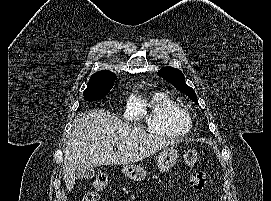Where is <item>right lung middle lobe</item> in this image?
<instances>
[{"label":"right lung middle lobe","instance_id":"dd1d6c3e","mask_svg":"<svg viewBox=\"0 0 271 201\" xmlns=\"http://www.w3.org/2000/svg\"><path fill=\"white\" fill-rule=\"evenodd\" d=\"M115 79V76L90 79L87 89L83 92L84 99L87 101L101 100L112 89Z\"/></svg>","mask_w":271,"mask_h":201}]
</instances>
